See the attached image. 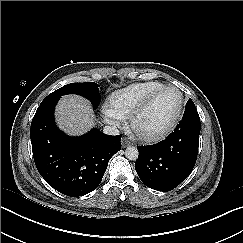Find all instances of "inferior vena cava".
Returning a JSON list of instances; mask_svg holds the SVG:
<instances>
[{
  "mask_svg": "<svg viewBox=\"0 0 243 243\" xmlns=\"http://www.w3.org/2000/svg\"><path fill=\"white\" fill-rule=\"evenodd\" d=\"M103 133L106 135L115 136L119 134V130L115 125L105 126L103 129Z\"/></svg>",
  "mask_w": 243,
  "mask_h": 243,
  "instance_id": "1",
  "label": "inferior vena cava"
}]
</instances>
